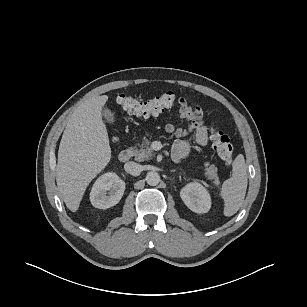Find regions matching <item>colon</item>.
Instances as JSON below:
<instances>
[{
  "label": "colon",
  "mask_w": 307,
  "mask_h": 307,
  "mask_svg": "<svg viewBox=\"0 0 307 307\" xmlns=\"http://www.w3.org/2000/svg\"><path fill=\"white\" fill-rule=\"evenodd\" d=\"M176 100L172 92H167L161 96L150 100L140 101L128 94H120L116 97V102L128 113L152 116L174 105ZM211 140L213 148L225 165H231L234 158L233 146L229 137L220 129L211 130Z\"/></svg>",
  "instance_id": "colon-1"
}]
</instances>
